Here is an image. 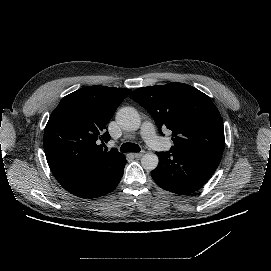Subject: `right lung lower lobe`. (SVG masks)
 <instances>
[{"label": "right lung lower lobe", "mask_w": 271, "mask_h": 271, "mask_svg": "<svg viewBox=\"0 0 271 271\" xmlns=\"http://www.w3.org/2000/svg\"><path fill=\"white\" fill-rule=\"evenodd\" d=\"M125 164H126V158L124 156L121 159V162L117 166L116 170L110 173L107 177H104L102 180L93 183L89 187L76 188L69 192L81 198H96V197L106 195L112 192L116 188V186L119 184L123 176Z\"/></svg>", "instance_id": "1"}]
</instances>
